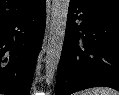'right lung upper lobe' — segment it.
<instances>
[{"label": "right lung upper lobe", "mask_w": 119, "mask_h": 95, "mask_svg": "<svg viewBox=\"0 0 119 95\" xmlns=\"http://www.w3.org/2000/svg\"><path fill=\"white\" fill-rule=\"evenodd\" d=\"M43 0H0V24L34 9Z\"/></svg>", "instance_id": "obj_1"}]
</instances>
